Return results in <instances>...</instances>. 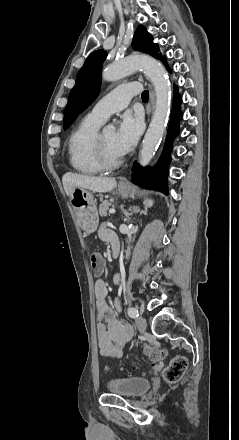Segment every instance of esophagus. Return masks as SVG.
Wrapping results in <instances>:
<instances>
[{"label": "esophagus", "instance_id": "34e87169", "mask_svg": "<svg viewBox=\"0 0 239 440\" xmlns=\"http://www.w3.org/2000/svg\"><path fill=\"white\" fill-rule=\"evenodd\" d=\"M149 88H150V104H151L152 111H153L154 106H155V93H154V90H153V87H152V86H150ZM119 183H120V184H124V185H126V184H128L129 182H128V180H127L126 178L122 177V178L120 179Z\"/></svg>", "mask_w": 239, "mask_h": 440}]
</instances>
